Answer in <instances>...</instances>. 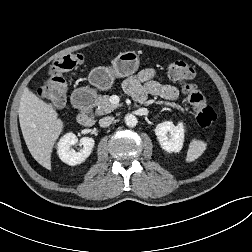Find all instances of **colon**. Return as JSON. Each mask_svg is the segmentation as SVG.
I'll list each match as a JSON object with an SVG mask.
<instances>
[{
	"instance_id": "colon-1",
	"label": "colon",
	"mask_w": 252,
	"mask_h": 252,
	"mask_svg": "<svg viewBox=\"0 0 252 252\" xmlns=\"http://www.w3.org/2000/svg\"><path fill=\"white\" fill-rule=\"evenodd\" d=\"M81 54H69L54 62L51 74L44 85L38 89V95L51 106L60 107L66 99V82L63 78L68 72L83 62ZM169 78L182 86L186 99L192 107L197 123L201 127H210L217 120L215 110L198 87L192 82L196 76L194 67L184 61H175L168 68Z\"/></svg>"
}]
</instances>
